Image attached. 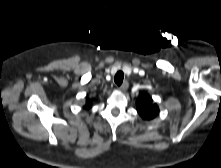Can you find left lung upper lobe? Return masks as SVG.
I'll list each match as a JSON object with an SVG mask.
<instances>
[{"label":"left lung upper lobe","mask_w":221,"mask_h":168,"mask_svg":"<svg viewBox=\"0 0 221 168\" xmlns=\"http://www.w3.org/2000/svg\"><path fill=\"white\" fill-rule=\"evenodd\" d=\"M136 105L139 115L145 120H151L159 113V107L153 103L152 98L147 93H142L139 96Z\"/></svg>","instance_id":"left-lung-upper-lobe-1"}]
</instances>
